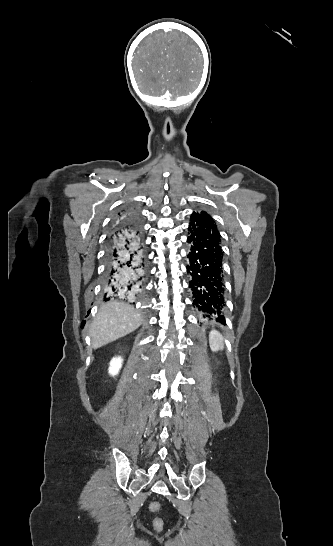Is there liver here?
Returning a JSON list of instances; mask_svg holds the SVG:
<instances>
[{
  "mask_svg": "<svg viewBox=\"0 0 333 546\" xmlns=\"http://www.w3.org/2000/svg\"><path fill=\"white\" fill-rule=\"evenodd\" d=\"M142 321L141 314L126 303L102 304L90 326L91 345L94 349L107 345L135 331Z\"/></svg>",
  "mask_w": 333,
  "mask_h": 546,
  "instance_id": "obj_1",
  "label": "liver"
}]
</instances>
